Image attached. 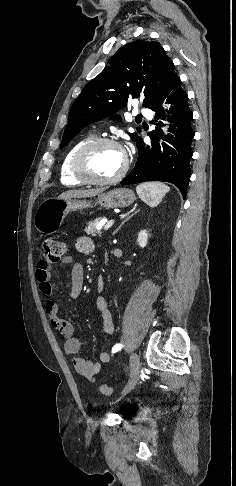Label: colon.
Wrapping results in <instances>:
<instances>
[{
	"label": "colon",
	"mask_w": 236,
	"mask_h": 486,
	"mask_svg": "<svg viewBox=\"0 0 236 486\" xmlns=\"http://www.w3.org/2000/svg\"><path fill=\"white\" fill-rule=\"evenodd\" d=\"M46 257L51 262H58L67 252V244L63 240L55 237H48L43 242ZM100 392L105 396H111L113 389L105 384L99 388Z\"/></svg>",
	"instance_id": "1"
}]
</instances>
